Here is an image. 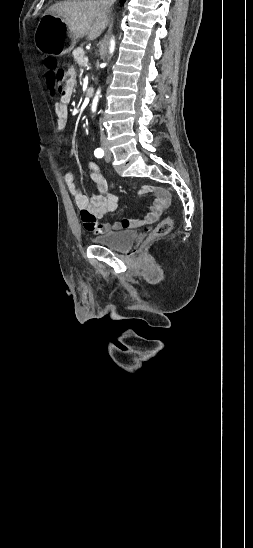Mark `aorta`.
I'll list each match as a JSON object with an SVG mask.
<instances>
[{"label":"aorta","instance_id":"1","mask_svg":"<svg viewBox=\"0 0 253 548\" xmlns=\"http://www.w3.org/2000/svg\"><path fill=\"white\" fill-rule=\"evenodd\" d=\"M114 47H115V42L114 40H111V46H110V52L112 53L114 51ZM98 97H99V91L97 92L94 100H93V109H95L96 107V104L98 102Z\"/></svg>","mask_w":253,"mask_h":548}]
</instances>
